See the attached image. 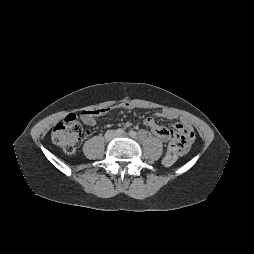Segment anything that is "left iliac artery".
I'll return each instance as SVG.
<instances>
[{
	"instance_id": "1",
	"label": "left iliac artery",
	"mask_w": 254,
	"mask_h": 254,
	"mask_svg": "<svg viewBox=\"0 0 254 254\" xmlns=\"http://www.w3.org/2000/svg\"><path fill=\"white\" fill-rule=\"evenodd\" d=\"M129 135L131 136V137H136L137 136V133L135 132V131H130L129 132Z\"/></svg>"
}]
</instances>
